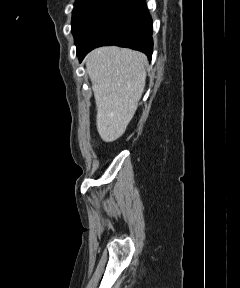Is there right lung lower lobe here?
<instances>
[{"label": "right lung lower lobe", "mask_w": 240, "mask_h": 288, "mask_svg": "<svg viewBox=\"0 0 240 288\" xmlns=\"http://www.w3.org/2000/svg\"><path fill=\"white\" fill-rule=\"evenodd\" d=\"M152 32V19L145 0H120L87 41L77 46V55L81 62L96 47L117 45L141 51L150 60L153 51Z\"/></svg>", "instance_id": "1"}]
</instances>
